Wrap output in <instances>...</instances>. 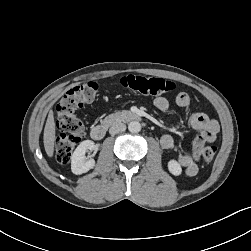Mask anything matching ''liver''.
Segmentation results:
<instances>
[{
  "label": "liver",
  "instance_id": "1",
  "mask_svg": "<svg viewBox=\"0 0 251 251\" xmlns=\"http://www.w3.org/2000/svg\"><path fill=\"white\" fill-rule=\"evenodd\" d=\"M43 142L46 154L48 157H52L55 143V121L52 110H50L45 124Z\"/></svg>",
  "mask_w": 251,
  "mask_h": 251
}]
</instances>
